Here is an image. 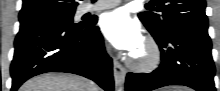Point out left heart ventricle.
<instances>
[{
	"instance_id": "b2bd125f",
	"label": "left heart ventricle",
	"mask_w": 220,
	"mask_h": 91,
	"mask_svg": "<svg viewBox=\"0 0 220 91\" xmlns=\"http://www.w3.org/2000/svg\"><path fill=\"white\" fill-rule=\"evenodd\" d=\"M138 58H142L145 55V49L143 45L134 53Z\"/></svg>"
}]
</instances>
